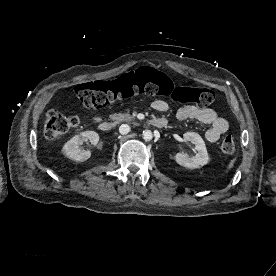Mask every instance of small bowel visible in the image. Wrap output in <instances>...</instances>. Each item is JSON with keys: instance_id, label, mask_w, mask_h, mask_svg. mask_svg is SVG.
Masks as SVG:
<instances>
[{"instance_id": "small-bowel-1", "label": "small bowel", "mask_w": 276, "mask_h": 276, "mask_svg": "<svg viewBox=\"0 0 276 276\" xmlns=\"http://www.w3.org/2000/svg\"><path fill=\"white\" fill-rule=\"evenodd\" d=\"M152 107L159 112H167L169 105L163 100H155L152 102ZM176 117L178 120H197L203 124H208L211 127L206 131L205 137L209 142H216L222 134L228 131L229 122L224 117H221L212 108H201L193 105H188L180 108ZM94 122H99L101 117L93 116Z\"/></svg>"}]
</instances>
